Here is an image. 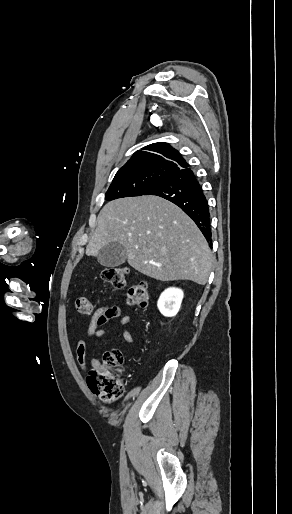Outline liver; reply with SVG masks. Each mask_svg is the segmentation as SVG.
<instances>
[{"label":"liver","instance_id":"liver-1","mask_svg":"<svg viewBox=\"0 0 292 514\" xmlns=\"http://www.w3.org/2000/svg\"><path fill=\"white\" fill-rule=\"evenodd\" d=\"M119 242L128 264L155 280H192L207 284L212 252L199 228L178 206L159 196L120 198L108 202L97 218V228L86 256Z\"/></svg>","mask_w":292,"mask_h":514}]
</instances>
